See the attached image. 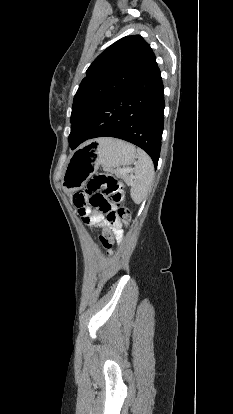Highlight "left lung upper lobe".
<instances>
[{
	"instance_id": "left-lung-upper-lobe-1",
	"label": "left lung upper lobe",
	"mask_w": 233,
	"mask_h": 414,
	"mask_svg": "<svg viewBox=\"0 0 233 414\" xmlns=\"http://www.w3.org/2000/svg\"><path fill=\"white\" fill-rule=\"evenodd\" d=\"M155 63L150 45L139 35L123 37L109 46L89 66L74 96L72 126L137 81Z\"/></svg>"
}]
</instances>
